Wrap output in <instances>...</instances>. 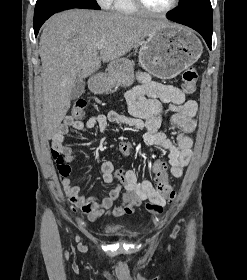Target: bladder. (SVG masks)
Wrapping results in <instances>:
<instances>
[{"mask_svg":"<svg viewBox=\"0 0 247 280\" xmlns=\"http://www.w3.org/2000/svg\"><path fill=\"white\" fill-rule=\"evenodd\" d=\"M107 235L120 236L128 234V224L123 221H112L103 226Z\"/></svg>","mask_w":247,"mask_h":280,"instance_id":"bladder-1","label":"bladder"}]
</instances>
